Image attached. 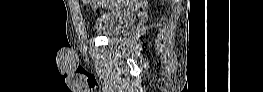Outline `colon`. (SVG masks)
<instances>
[{"instance_id":"obj_1","label":"colon","mask_w":263,"mask_h":92,"mask_svg":"<svg viewBox=\"0 0 263 92\" xmlns=\"http://www.w3.org/2000/svg\"><path fill=\"white\" fill-rule=\"evenodd\" d=\"M97 2H100V3H103V4H113V3H116V2H120V1L107 0V1H97Z\"/></svg>"}]
</instances>
